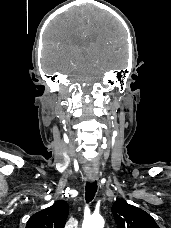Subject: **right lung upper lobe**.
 Segmentation results:
<instances>
[{
  "label": "right lung upper lobe",
  "instance_id": "cb5924a9",
  "mask_svg": "<svg viewBox=\"0 0 171 228\" xmlns=\"http://www.w3.org/2000/svg\"><path fill=\"white\" fill-rule=\"evenodd\" d=\"M69 212L68 204L61 200L32 215L26 228H64Z\"/></svg>",
  "mask_w": 171,
  "mask_h": 228
}]
</instances>
